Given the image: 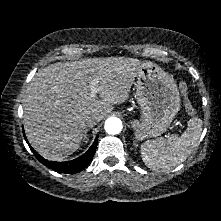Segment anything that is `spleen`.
I'll return each instance as SVG.
<instances>
[{"label": "spleen", "mask_w": 221, "mask_h": 221, "mask_svg": "<svg viewBox=\"0 0 221 221\" xmlns=\"http://www.w3.org/2000/svg\"><path fill=\"white\" fill-rule=\"evenodd\" d=\"M202 125L200 118H192L180 137L173 136L168 141H146L141 145L143 162L156 171L168 170L184 162L199 142Z\"/></svg>", "instance_id": "spleen-1"}]
</instances>
